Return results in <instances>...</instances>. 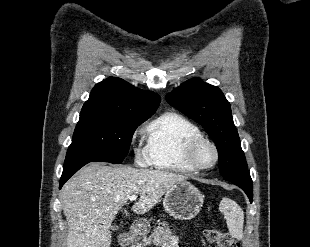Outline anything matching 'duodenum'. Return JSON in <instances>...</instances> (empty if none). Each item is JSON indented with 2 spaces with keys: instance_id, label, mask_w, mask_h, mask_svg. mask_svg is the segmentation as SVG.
<instances>
[{
  "instance_id": "410a0bca",
  "label": "duodenum",
  "mask_w": 310,
  "mask_h": 247,
  "mask_svg": "<svg viewBox=\"0 0 310 247\" xmlns=\"http://www.w3.org/2000/svg\"><path fill=\"white\" fill-rule=\"evenodd\" d=\"M121 245L122 247H131L132 245V239L131 236L128 233H123L121 235Z\"/></svg>"
}]
</instances>
